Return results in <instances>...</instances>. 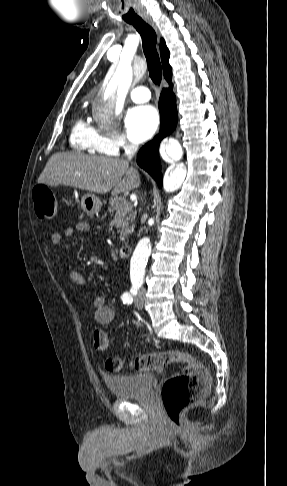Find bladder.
Wrapping results in <instances>:
<instances>
[{
  "label": "bladder",
  "instance_id": "31cf9c89",
  "mask_svg": "<svg viewBox=\"0 0 287 486\" xmlns=\"http://www.w3.org/2000/svg\"><path fill=\"white\" fill-rule=\"evenodd\" d=\"M105 383L112 394L119 399H129L146 395L155 381L152 373L108 375Z\"/></svg>",
  "mask_w": 287,
  "mask_h": 486
}]
</instances>
